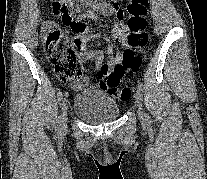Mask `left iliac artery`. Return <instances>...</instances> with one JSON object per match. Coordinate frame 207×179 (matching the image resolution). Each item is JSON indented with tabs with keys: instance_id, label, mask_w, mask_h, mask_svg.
<instances>
[{
	"instance_id": "44dca946",
	"label": "left iliac artery",
	"mask_w": 207,
	"mask_h": 179,
	"mask_svg": "<svg viewBox=\"0 0 207 179\" xmlns=\"http://www.w3.org/2000/svg\"><path fill=\"white\" fill-rule=\"evenodd\" d=\"M138 91L142 93L144 92V86L142 85V83L138 84ZM147 120L151 121L149 116H147Z\"/></svg>"
}]
</instances>
